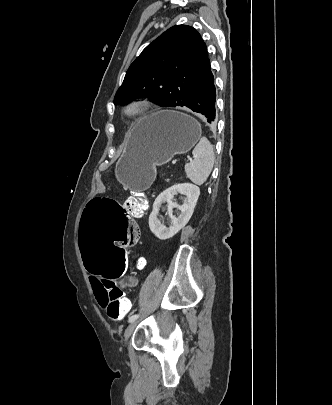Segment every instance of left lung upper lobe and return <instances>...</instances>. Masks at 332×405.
I'll use <instances>...</instances> for the list:
<instances>
[{
	"label": "left lung upper lobe",
	"instance_id": "1",
	"mask_svg": "<svg viewBox=\"0 0 332 405\" xmlns=\"http://www.w3.org/2000/svg\"><path fill=\"white\" fill-rule=\"evenodd\" d=\"M208 62L207 47L200 34L187 25L173 26L130 65L114 104L150 97L162 107L187 106Z\"/></svg>",
	"mask_w": 332,
	"mask_h": 405
}]
</instances>
